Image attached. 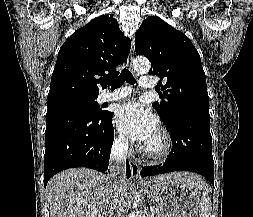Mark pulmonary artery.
Returning a JSON list of instances; mask_svg holds the SVG:
<instances>
[{
    "label": "pulmonary artery",
    "instance_id": "e3ab8cb5",
    "mask_svg": "<svg viewBox=\"0 0 253 217\" xmlns=\"http://www.w3.org/2000/svg\"><path fill=\"white\" fill-rule=\"evenodd\" d=\"M139 85L143 89H152L155 87V83L150 76H142L140 78ZM131 93L129 88H121L114 92H104L100 96L101 102L116 101L128 96Z\"/></svg>",
    "mask_w": 253,
    "mask_h": 217
}]
</instances>
